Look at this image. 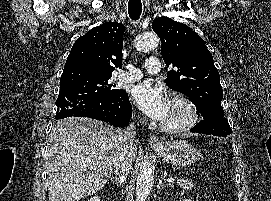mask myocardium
<instances>
[{
	"label": "myocardium",
	"instance_id": "f54148a6",
	"mask_svg": "<svg viewBox=\"0 0 271 201\" xmlns=\"http://www.w3.org/2000/svg\"><path fill=\"white\" fill-rule=\"evenodd\" d=\"M171 104L181 107L185 112V119L180 124L169 125L162 122L160 124L161 129L170 134H180L187 132L194 128L199 122V113L195 104L188 98L175 95L172 97Z\"/></svg>",
	"mask_w": 271,
	"mask_h": 201
}]
</instances>
